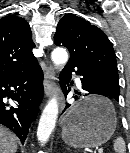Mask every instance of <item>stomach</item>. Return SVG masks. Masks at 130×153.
<instances>
[{"mask_svg":"<svg viewBox=\"0 0 130 153\" xmlns=\"http://www.w3.org/2000/svg\"><path fill=\"white\" fill-rule=\"evenodd\" d=\"M116 112L104 97H86L62 117V138L73 147H98L113 135Z\"/></svg>","mask_w":130,"mask_h":153,"instance_id":"stomach-1","label":"stomach"}]
</instances>
